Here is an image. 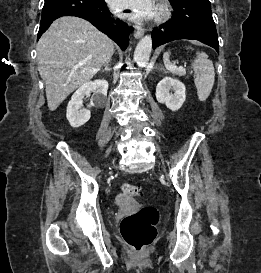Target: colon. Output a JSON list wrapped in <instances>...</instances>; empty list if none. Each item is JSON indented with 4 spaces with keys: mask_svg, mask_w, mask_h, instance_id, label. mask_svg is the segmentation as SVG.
<instances>
[{
    "mask_svg": "<svg viewBox=\"0 0 261 273\" xmlns=\"http://www.w3.org/2000/svg\"><path fill=\"white\" fill-rule=\"evenodd\" d=\"M121 191L125 197H134L138 195L139 187L133 184H123ZM158 219L159 214L155 208H141L123 218L120 224V234L132 250L142 252L156 237Z\"/></svg>",
    "mask_w": 261,
    "mask_h": 273,
    "instance_id": "5ec220e1",
    "label": "colon"
}]
</instances>
